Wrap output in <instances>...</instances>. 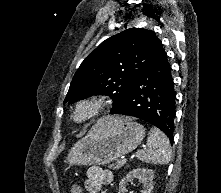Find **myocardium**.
<instances>
[{
	"instance_id": "obj_1",
	"label": "myocardium",
	"mask_w": 221,
	"mask_h": 193,
	"mask_svg": "<svg viewBox=\"0 0 221 193\" xmlns=\"http://www.w3.org/2000/svg\"><path fill=\"white\" fill-rule=\"evenodd\" d=\"M111 107V99L105 94H93L78 99L72 106L70 119L83 125L99 117Z\"/></svg>"
}]
</instances>
